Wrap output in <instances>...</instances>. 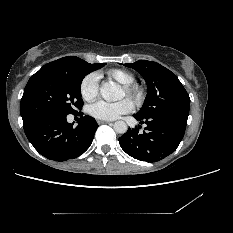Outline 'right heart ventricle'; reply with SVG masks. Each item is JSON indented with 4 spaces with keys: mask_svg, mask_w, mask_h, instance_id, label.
<instances>
[{
    "mask_svg": "<svg viewBox=\"0 0 233 233\" xmlns=\"http://www.w3.org/2000/svg\"><path fill=\"white\" fill-rule=\"evenodd\" d=\"M105 76L107 79L115 80L122 85L130 84L135 81L133 73L121 68L109 69L105 72Z\"/></svg>",
    "mask_w": 233,
    "mask_h": 233,
    "instance_id": "obj_1",
    "label": "right heart ventricle"
}]
</instances>
